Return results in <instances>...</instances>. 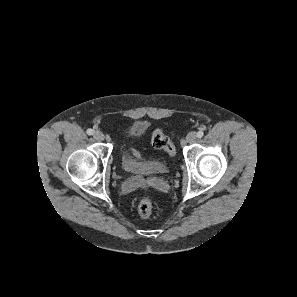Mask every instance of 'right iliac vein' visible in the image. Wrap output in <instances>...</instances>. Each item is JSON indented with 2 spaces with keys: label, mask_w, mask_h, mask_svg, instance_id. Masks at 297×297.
I'll use <instances>...</instances> for the list:
<instances>
[{
  "label": "right iliac vein",
  "mask_w": 297,
  "mask_h": 297,
  "mask_svg": "<svg viewBox=\"0 0 297 297\" xmlns=\"http://www.w3.org/2000/svg\"><path fill=\"white\" fill-rule=\"evenodd\" d=\"M93 137L97 140V141H103L104 140V134L101 131H96L93 134Z\"/></svg>",
  "instance_id": "obj_1"
}]
</instances>
